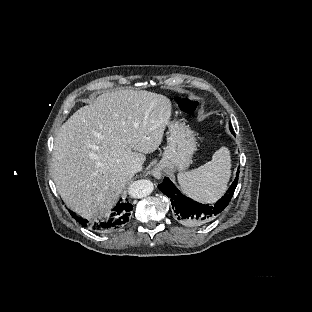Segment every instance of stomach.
Returning a JSON list of instances; mask_svg holds the SVG:
<instances>
[{
    "label": "stomach",
    "mask_w": 312,
    "mask_h": 312,
    "mask_svg": "<svg viewBox=\"0 0 312 312\" xmlns=\"http://www.w3.org/2000/svg\"><path fill=\"white\" fill-rule=\"evenodd\" d=\"M167 126L170 136L159 163L160 168L168 172H183L192 163V157L196 151L195 133L186 125L185 121L174 119L169 121Z\"/></svg>",
    "instance_id": "stomach-1"
}]
</instances>
